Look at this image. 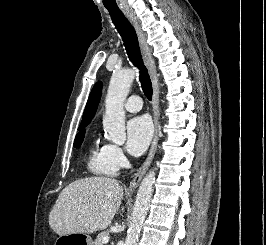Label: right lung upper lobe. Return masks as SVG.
I'll return each instance as SVG.
<instances>
[{"label":"right lung upper lobe","instance_id":"cb5924a9","mask_svg":"<svg viewBox=\"0 0 266 245\" xmlns=\"http://www.w3.org/2000/svg\"><path fill=\"white\" fill-rule=\"evenodd\" d=\"M101 92H102V83L98 82L94 85L90 93L80 126L89 124L92 118L94 117L101 97Z\"/></svg>","mask_w":266,"mask_h":245}]
</instances>
